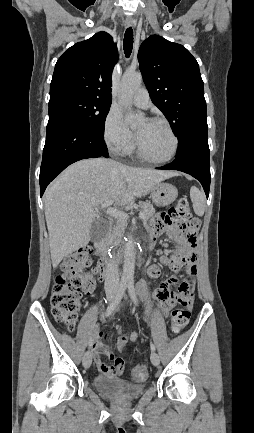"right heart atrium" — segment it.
<instances>
[{
    "label": "right heart atrium",
    "mask_w": 254,
    "mask_h": 433,
    "mask_svg": "<svg viewBox=\"0 0 254 433\" xmlns=\"http://www.w3.org/2000/svg\"><path fill=\"white\" fill-rule=\"evenodd\" d=\"M103 140L107 147L117 155H125L134 147V136L127 128L122 114L111 108L103 123Z\"/></svg>",
    "instance_id": "obj_1"
}]
</instances>
